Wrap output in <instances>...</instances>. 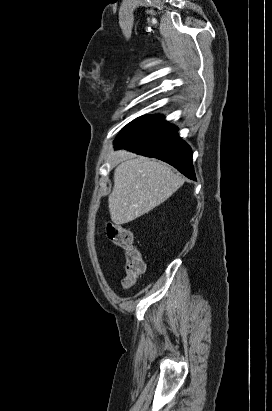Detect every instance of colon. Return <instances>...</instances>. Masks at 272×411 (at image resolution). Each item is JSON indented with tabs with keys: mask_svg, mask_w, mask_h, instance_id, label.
<instances>
[{
	"mask_svg": "<svg viewBox=\"0 0 272 411\" xmlns=\"http://www.w3.org/2000/svg\"><path fill=\"white\" fill-rule=\"evenodd\" d=\"M106 234L111 242L126 252L122 285L125 288H131L145 271V261L134 243V234L131 229L115 223L107 224Z\"/></svg>",
	"mask_w": 272,
	"mask_h": 411,
	"instance_id": "1",
	"label": "colon"
}]
</instances>
